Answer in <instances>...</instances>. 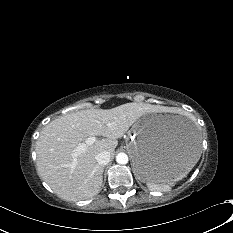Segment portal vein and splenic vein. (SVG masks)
Listing matches in <instances>:
<instances>
[{
    "label": "portal vein and splenic vein",
    "instance_id": "18ae733b",
    "mask_svg": "<svg viewBox=\"0 0 233 233\" xmlns=\"http://www.w3.org/2000/svg\"><path fill=\"white\" fill-rule=\"evenodd\" d=\"M96 141V137L95 136H90L88 138H86L84 143H80L76 149H75V153L74 155L77 156L83 152L86 151L87 147L92 145L94 142Z\"/></svg>",
    "mask_w": 233,
    "mask_h": 233
}]
</instances>
